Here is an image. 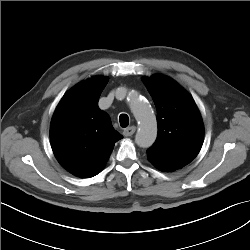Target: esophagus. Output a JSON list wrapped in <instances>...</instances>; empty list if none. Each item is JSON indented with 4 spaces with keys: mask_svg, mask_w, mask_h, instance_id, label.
<instances>
[{
    "mask_svg": "<svg viewBox=\"0 0 250 250\" xmlns=\"http://www.w3.org/2000/svg\"><path fill=\"white\" fill-rule=\"evenodd\" d=\"M136 131V127L135 126H130L128 128H125L123 131V135L126 137L132 136Z\"/></svg>",
    "mask_w": 250,
    "mask_h": 250,
    "instance_id": "esophagus-1",
    "label": "esophagus"
}]
</instances>
